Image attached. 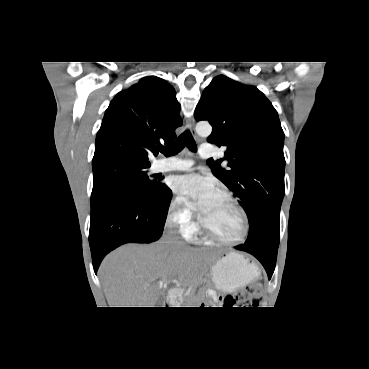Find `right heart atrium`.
Returning <instances> with one entry per match:
<instances>
[{"mask_svg":"<svg viewBox=\"0 0 369 369\" xmlns=\"http://www.w3.org/2000/svg\"><path fill=\"white\" fill-rule=\"evenodd\" d=\"M168 216L185 234H190L195 229L194 214L181 197L171 199Z\"/></svg>","mask_w":369,"mask_h":369,"instance_id":"1","label":"right heart atrium"}]
</instances>
